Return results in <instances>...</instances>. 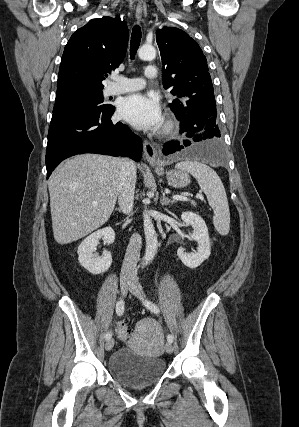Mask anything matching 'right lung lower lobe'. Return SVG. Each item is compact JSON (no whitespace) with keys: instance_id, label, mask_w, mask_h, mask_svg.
I'll list each match as a JSON object with an SVG mask.
<instances>
[{"instance_id":"obj_1","label":"right lung lower lobe","mask_w":299,"mask_h":427,"mask_svg":"<svg viewBox=\"0 0 299 427\" xmlns=\"http://www.w3.org/2000/svg\"><path fill=\"white\" fill-rule=\"evenodd\" d=\"M111 109L76 106L53 113L46 151L47 178L64 159L81 153L141 159V139L121 122L112 123Z\"/></svg>"}]
</instances>
